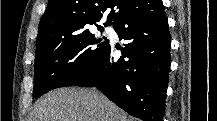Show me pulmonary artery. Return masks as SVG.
I'll use <instances>...</instances> for the list:
<instances>
[{"instance_id": "obj_1", "label": "pulmonary artery", "mask_w": 217, "mask_h": 121, "mask_svg": "<svg viewBox=\"0 0 217 121\" xmlns=\"http://www.w3.org/2000/svg\"><path fill=\"white\" fill-rule=\"evenodd\" d=\"M107 31H108L109 33H111V32H112V29H111V28H107Z\"/></svg>"}]
</instances>
